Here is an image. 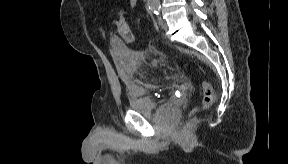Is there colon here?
I'll use <instances>...</instances> for the list:
<instances>
[{
    "mask_svg": "<svg viewBox=\"0 0 288 164\" xmlns=\"http://www.w3.org/2000/svg\"><path fill=\"white\" fill-rule=\"evenodd\" d=\"M114 26L117 30V32L123 37V39L127 42L133 41V36L131 31L129 30L127 22L123 19V17H118L113 19ZM201 89H202V104L204 107H209L212 105L214 101V91L211 87V85L203 81L201 83Z\"/></svg>",
    "mask_w": 288,
    "mask_h": 164,
    "instance_id": "5ec220e1",
    "label": "colon"
}]
</instances>
